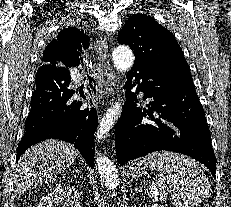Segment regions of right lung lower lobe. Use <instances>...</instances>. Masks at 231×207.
Instances as JSON below:
<instances>
[{
	"label": "right lung lower lobe",
	"mask_w": 231,
	"mask_h": 207,
	"mask_svg": "<svg viewBox=\"0 0 231 207\" xmlns=\"http://www.w3.org/2000/svg\"><path fill=\"white\" fill-rule=\"evenodd\" d=\"M62 31L89 39L77 28ZM70 81V73L64 66L42 65L38 69L31 110L25 122L26 132L17 148V160L32 145L56 138L74 144L89 166L94 167L93 135L98 123L97 111L95 107H86L75 100V91L68 88Z\"/></svg>",
	"instance_id": "obj_1"
}]
</instances>
